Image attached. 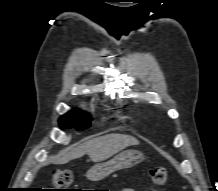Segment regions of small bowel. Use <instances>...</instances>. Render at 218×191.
<instances>
[{
    "label": "small bowel",
    "mask_w": 218,
    "mask_h": 191,
    "mask_svg": "<svg viewBox=\"0 0 218 191\" xmlns=\"http://www.w3.org/2000/svg\"><path fill=\"white\" fill-rule=\"evenodd\" d=\"M122 191H135V190L126 188V189H124V190H122Z\"/></svg>",
    "instance_id": "obj_1"
}]
</instances>
